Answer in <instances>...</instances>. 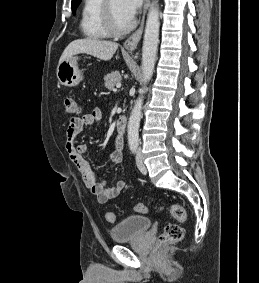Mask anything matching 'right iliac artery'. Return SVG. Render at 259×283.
I'll return each mask as SVG.
<instances>
[{
  "instance_id": "right-iliac-artery-1",
  "label": "right iliac artery",
  "mask_w": 259,
  "mask_h": 283,
  "mask_svg": "<svg viewBox=\"0 0 259 283\" xmlns=\"http://www.w3.org/2000/svg\"><path fill=\"white\" fill-rule=\"evenodd\" d=\"M136 149H137L136 147H132V148H131L132 153H135V152H136Z\"/></svg>"
}]
</instances>
